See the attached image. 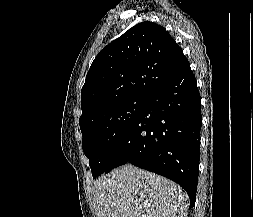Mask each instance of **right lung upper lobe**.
Returning a JSON list of instances; mask_svg holds the SVG:
<instances>
[{"label": "right lung upper lobe", "instance_id": "right-lung-upper-lobe-1", "mask_svg": "<svg viewBox=\"0 0 253 217\" xmlns=\"http://www.w3.org/2000/svg\"><path fill=\"white\" fill-rule=\"evenodd\" d=\"M163 26L142 22L96 56L81 90L80 125L102 109L134 97H148L187 62Z\"/></svg>", "mask_w": 253, "mask_h": 217}]
</instances>
